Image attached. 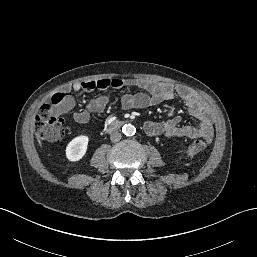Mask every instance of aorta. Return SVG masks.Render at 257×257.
<instances>
[{"label":"aorta","mask_w":257,"mask_h":257,"mask_svg":"<svg viewBox=\"0 0 257 257\" xmlns=\"http://www.w3.org/2000/svg\"><path fill=\"white\" fill-rule=\"evenodd\" d=\"M122 131L126 136H132L136 133V128L132 124H126L123 126Z\"/></svg>","instance_id":"aorta-1"}]
</instances>
